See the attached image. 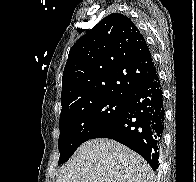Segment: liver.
<instances>
[{"label": "liver", "mask_w": 196, "mask_h": 182, "mask_svg": "<svg viewBox=\"0 0 196 182\" xmlns=\"http://www.w3.org/2000/svg\"><path fill=\"white\" fill-rule=\"evenodd\" d=\"M56 182H156L154 171L137 153L110 139L83 143Z\"/></svg>", "instance_id": "6515ba94"}]
</instances>
